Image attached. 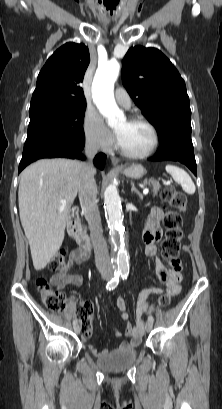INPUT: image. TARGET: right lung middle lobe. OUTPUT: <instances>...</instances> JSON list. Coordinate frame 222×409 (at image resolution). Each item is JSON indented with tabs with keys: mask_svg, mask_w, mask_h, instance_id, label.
<instances>
[{
	"mask_svg": "<svg viewBox=\"0 0 222 409\" xmlns=\"http://www.w3.org/2000/svg\"><path fill=\"white\" fill-rule=\"evenodd\" d=\"M85 109L86 103L49 104L30 109L23 156L66 152L84 144Z\"/></svg>",
	"mask_w": 222,
	"mask_h": 409,
	"instance_id": "obj_1",
	"label": "right lung middle lobe"
}]
</instances>
